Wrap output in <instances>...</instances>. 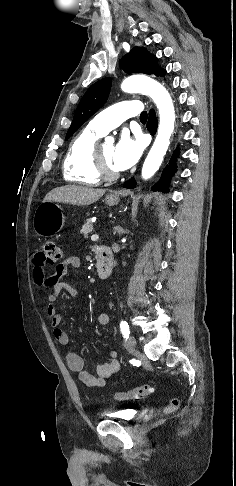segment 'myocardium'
Segmentation results:
<instances>
[{"instance_id": "f54148a6", "label": "myocardium", "mask_w": 236, "mask_h": 486, "mask_svg": "<svg viewBox=\"0 0 236 486\" xmlns=\"http://www.w3.org/2000/svg\"><path fill=\"white\" fill-rule=\"evenodd\" d=\"M93 166L97 177L102 181H114L120 175L118 171L108 169L102 159L99 145H95L93 149Z\"/></svg>"}]
</instances>
